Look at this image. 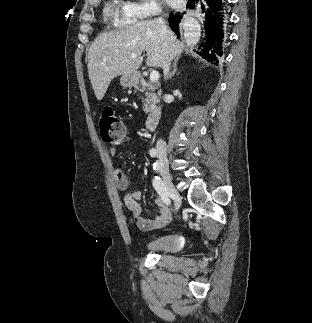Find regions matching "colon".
I'll return each mask as SVG.
<instances>
[{
    "mask_svg": "<svg viewBox=\"0 0 312 323\" xmlns=\"http://www.w3.org/2000/svg\"><path fill=\"white\" fill-rule=\"evenodd\" d=\"M101 136L105 142L111 143L122 140L126 134V127L111 109H106L100 117Z\"/></svg>",
    "mask_w": 312,
    "mask_h": 323,
    "instance_id": "1",
    "label": "colon"
}]
</instances>
